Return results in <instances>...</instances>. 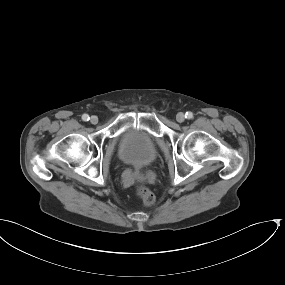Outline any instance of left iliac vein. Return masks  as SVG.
I'll list each match as a JSON object with an SVG mask.
<instances>
[{
    "label": "left iliac vein",
    "mask_w": 285,
    "mask_h": 285,
    "mask_svg": "<svg viewBox=\"0 0 285 285\" xmlns=\"http://www.w3.org/2000/svg\"><path fill=\"white\" fill-rule=\"evenodd\" d=\"M176 120H177V122H179V123H182V122H184V120H185V116H184V114L183 113H178L177 115H176Z\"/></svg>",
    "instance_id": "left-iliac-vein-1"
}]
</instances>
